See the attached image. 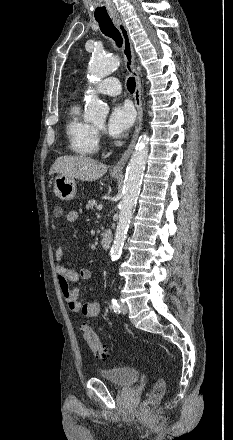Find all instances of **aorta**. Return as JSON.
Returning <instances> with one entry per match:
<instances>
[{"mask_svg":"<svg viewBox=\"0 0 233 440\" xmlns=\"http://www.w3.org/2000/svg\"><path fill=\"white\" fill-rule=\"evenodd\" d=\"M118 66L119 59L117 57H108L102 53H94L89 66V74L97 81L114 72ZM108 112V106L103 104L96 95H90L88 97L85 111L86 120L91 122L105 120ZM148 141L149 138L146 134L139 138L128 163L125 174L123 198L120 202L119 220L110 251L113 261L121 256L123 245L127 237L148 156Z\"/></svg>","mask_w":233,"mask_h":440,"instance_id":"aorta-1","label":"aorta"}]
</instances>
